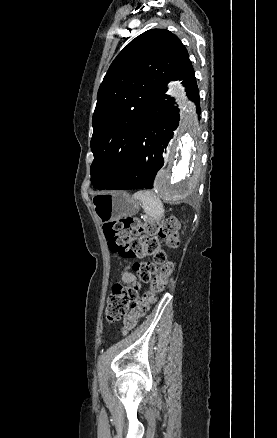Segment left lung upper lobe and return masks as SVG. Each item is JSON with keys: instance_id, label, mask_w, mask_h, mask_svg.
<instances>
[{"instance_id": "left-lung-upper-lobe-1", "label": "left lung upper lobe", "mask_w": 277, "mask_h": 438, "mask_svg": "<svg viewBox=\"0 0 277 438\" xmlns=\"http://www.w3.org/2000/svg\"><path fill=\"white\" fill-rule=\"evenodd\" d=\"M183 80L199 106V91L188 52L168 30L151 29L133 39L115 58L100 85L92 118L91 182L106 189L123 173L132 155L141 115L151 98H162L166 84Z\"/></svg>"}]
</instances>
